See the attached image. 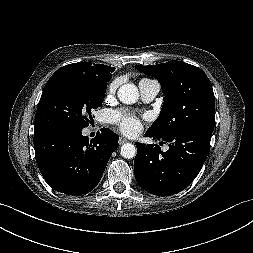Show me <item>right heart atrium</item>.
Listing matches in <instances>:
<instances>
[{"label":"right heart atrium","instance_id":"1","mask_svg":"<svg viewBox=\"0 0 253 253\" xmlns=\"http://www.w3.org/2000/svg\"><path fill=\"white\" fill-rule=\"evenodd\" d=\"M119 84H120V81H119L118 79L112 81V82L108 85V87H107V94H108L109 96L115 94V92H116V90H117Z\"/></svg>","mask_w":253,"mask_h":253}]
</instances>
